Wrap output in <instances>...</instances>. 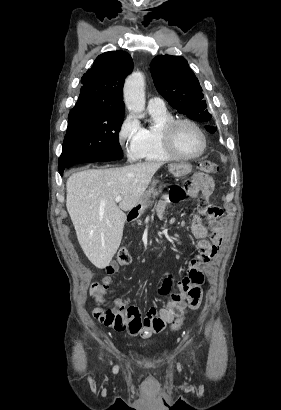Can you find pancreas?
<instances>
[{"label": "pancreas", "mask_w": 281, "mask_h": 410, "mask_svg": "<svg viewBox=\"0 0 281 410\" xmlns=\"http://www.w3.org/2000/svg\"><path fill=\"white\" fill-rule=\"evenodd\" d=\"M161 191H162V187L160 186V187H159V190H153V191L151 192L150 197L155 198L156 196H158L159 193H161ZM152 203H153V201H150V200H149L148 206L151 205Z\"/></svg>", "instance_id": "pancreas-1"}]
</instances>
